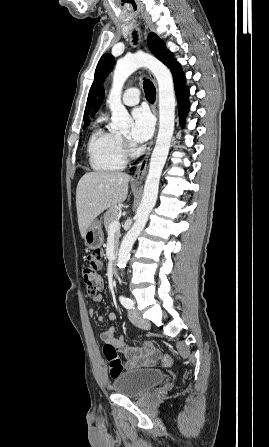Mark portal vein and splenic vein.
Segmentation results:
<instances>
[{
	"mask_svg": "<svg viewBox=\"0 0 269 447\" xmlns=\"http://www.w3.org/2000/svg\"><path fill=\"white\" fill-rule=\"evenodd\" d=\"M119 227H120L119 220H114V222H111V224L109 225V231H117Z\"/></svg>",
	"mask_w": 269,
	"mask_h": 447,
	"instance_id": "1",
	"label": "portal vein and splenic vein"
}]
</instances>
